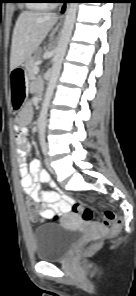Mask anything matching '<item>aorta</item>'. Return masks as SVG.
<instances>
[{"instance_id": "obj_1", "label": "aorta", "mask_w": 136, "mask_h": 296, "mask_svg": "<svg viewBox=\"0 0 136 296\" xmlns=\"http://www.w3.org/2000/svg\"><path fill=\"white\" fill-rule=\"evenodd\" d=\"M77 8H78V3H69L66 11V15H65V21H64L62 33H61L57 48L55 50V55L53 57V65L50 72L48 87L46 90L45 98L42 104V109L38 119L40 139H44L45 137L47 111H48L49 103H50L54 88L56 86L58 77L60 75V70H61L62 62L66 53V49L72 35V31H73V27L76 19Z\"/></svg>"}]
</instances>
